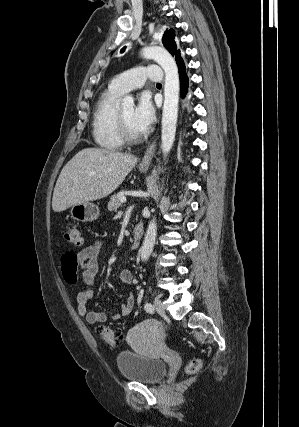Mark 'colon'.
<instances>
[{
    "mask_svg": "<svg viewBox=\"0 0 299 427\" xmlns=\"http://www.w3.org/2000/svg\"><path fill=\"white\" fill-rule=\"evenodd\" d=\"M65 241L74 246H80L82 244L81 229L78 225H72L67 228L64 233ZM98 336L108 344L117 345L121 341V336L114 330L106 327H100L98 329ZM202 366L200 359L191 360L186 366V372L193 374L199 371Z\"/></svg>",
    "mask_w": 299,
    "mask_h": 427,
    "instance_id": "obj_1",
    "label": "colon"
}]
</instances>
